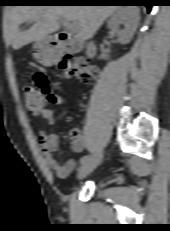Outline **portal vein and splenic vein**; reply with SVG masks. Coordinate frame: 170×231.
Here are the masks:
<instances>
[{
  "label": "portal vein and splenic vein",
  "instance_id": "18ae733b",
  "mask_svg": "<svg viewBox=\"0 0 170 231\" xmlns=\"http://www.w3.org/2000/svg\"><path fill=\"white\" fill-rule=\"evenodd\" d=\"M62 23L67 29L74 31V25L72 23L66 22L64 20H62Z\"/></svg>",
  "mask_w": 170,
  "mask_h": 231
}]
</instances>
